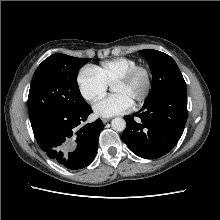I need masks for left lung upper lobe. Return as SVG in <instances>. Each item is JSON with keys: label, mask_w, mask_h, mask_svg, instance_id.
<instances>
[{"label": "left lung upper lobe", "mask_w": 220, "mask_h": 220, "mask_svg": "<svg viewBox=\"0 0 220 220\" xmlns=\"http://www.w3.org/2000/svg\"><path fill=\"white\" fill-rule=\"evenodd\" d=\"M139 53L147 59L153 77L151 90L145 103L166 92L186 88L177 64L169 55L153 49H144Z\"/></svg>", "instance_id": "1"}]
</instances>
